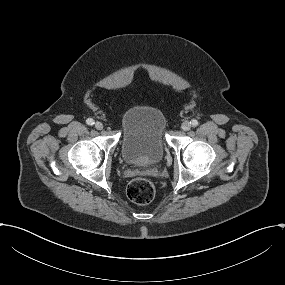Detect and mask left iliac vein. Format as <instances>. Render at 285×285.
I'll use <instances>...</instances> for the list:
<instances>
[{
	"label": "left iliac vein",
	"instance_id": "4c4485c4",
	"mask_svg": "<svg viewBox=\"0 0 285 285\" xmlns=\"http://www.w3.org/2000/svg\"><path fill=\"white\" fill-rule=\"evenodd\" d=\"M190 128H191V124H190L189 121H184L181 124V129L184 130V131H188Z\"/></svg>",
	"mask_w": 285,
	"mask_h": 285
}]
</instances>
